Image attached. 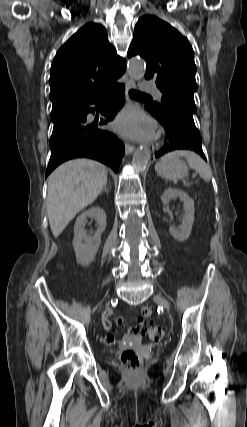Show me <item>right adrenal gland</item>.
<instances>
[{
  "label": "right adrenal gland",
  "instance_id": "2a0ac1e0",
  "mask_svg": "<svg viewBox=\"0 0 247 427\" xmlns=\"http://www.w3.org/2000/svg\"><path fill=\"white\" fill-rule=\"evenodd\" d=\"M106 192V193H108L109 192V187L107 186V183L104 185V188L102 189V191H101V193L102 192Z\"/></svg>",
  "mask_w": 247,
  "mask_h": 427
}]
</instances>
